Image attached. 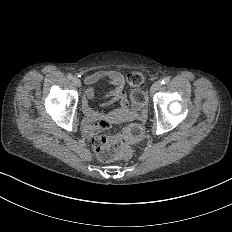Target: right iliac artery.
<instances>
[{
    "label": "right iliac artery",
    "mask_w": 232,
    "mask_h": 232,
    "mask_svg": "<svg viewBox=\"0 0 232 232\" xmlns=\"http://www.w3.org/2000/svg\"><path fill=\"white\" fill-rule=\"evenodd\" d=\"M67 78H68L69 80H72V79H73V75L69 73V74L67 75Z\"/></svg>",
    "instance_id": "82829eb1"
}]
</instances>
